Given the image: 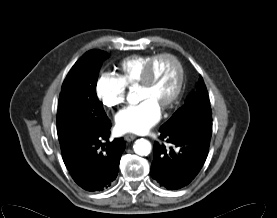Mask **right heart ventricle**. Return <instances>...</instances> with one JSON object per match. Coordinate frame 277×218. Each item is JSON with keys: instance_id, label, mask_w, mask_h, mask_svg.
<instances>
[{"instance_id": "right-heart-ventricle-1", "label": "right heart ventricle", "mask_w": 277, "mask_h": 218, "mask_svg": "<svg viewBox=\"0 0 277 218\" xmlns=\"http://www.w3.org/2000/svg\"><path fill=\"white\" fill-rule=\"evenodd\" d=\"M154 55H136L125 59L120 64L121 79L126 85H136L142 80L146 67Z\"/></svg>"}]
</instances>
